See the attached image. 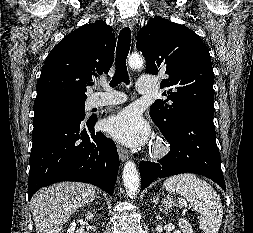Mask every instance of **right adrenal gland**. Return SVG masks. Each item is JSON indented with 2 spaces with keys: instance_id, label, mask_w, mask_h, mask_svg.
I'll list each match as a JSON object with an SVG mask.
<instances>
[{
  "instance_id": "right-adrenal-gland-1",
  "label": "right adrenal gland",
  "mask_w": 253,
  "mask_h": 233,
  "mask_svg": "<svg viewBox=\"0 0 253 233\" xmlns=\"http://www.w3.org/2000/svg\"><path fill=\"white\" fill-rule=\"evenodd\" d=\"M95 198H96V199H99L100 197L96 195V197H95Z\"/></svg>"
}]
</instances>
